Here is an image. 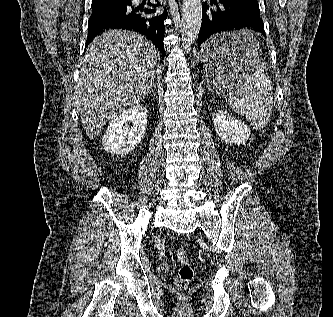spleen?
Instances as JSON below:
<instances>
[{
	"label": "spleen",
	"instance_id": "obj_1",
	"mask_svg": "<svg viewBox=\"0 0 333 317\" xmlns=\"http://www.w3.org/2000/svg\"><path fill=\"white\" fill-rule=\"evenodd\" d=\"M228 44L246 49L247 45L257 48V41L249 30L227 33ZM229 106L246 118L256 130L263 129L269 122L273 110V91L266 66L259 59L253 69L238 82L228 98Z\"/></svg>",
	"mask_w": 333,
	"mask_h": 317
}]
</instances>
